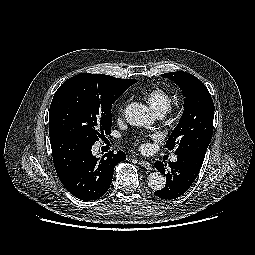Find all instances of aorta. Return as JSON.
Wrapping results in <instances>:
<instances>
[{
    "mask_svg": "<svg viewBox=\"0 0 255 255\" xmlns=\"http://www.w3.org/2000/svg\"><path fill=\"white\" fill-rule=\"evenodd\" d=\"M125 118L132 126H146L153 122L148 107L138 102L128 105L125 110ZM147 182L151 189L161 190L166 184V178L160 172H153L148 176Z\"/></svg>",
    "mask_w": 255,
    "mask_h": 255,
    "instance_id": "aorta-1",
    "label": "aorta"
}]
</instances>
